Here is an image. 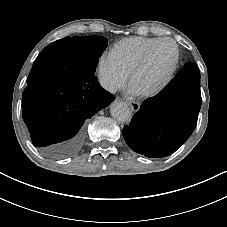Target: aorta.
Instances as JSON below:
<instances>
[{
    "label": "aorta",
    "mask_w": 227,
    "mask_h": 227,
    "mask_svg": "<svg viewBox=\"0 0 227 227\" xmlns=\"http://www.w3.org/2000/svg\"><path fill=\"white\" fill-rule=\"evenodd\" d=\"M111 116L118 122H128L132 118L130 107L125 102H113L110 106Z\"/></svg>",
    "instance_id": "aorta-1"
}]
</instances>
